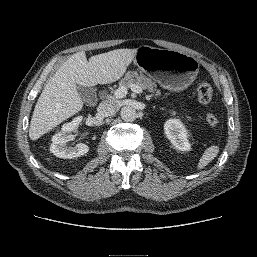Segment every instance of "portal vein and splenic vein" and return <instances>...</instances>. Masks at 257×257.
Masks as SVG:
<instances>
[{"label":"portal vein and splenic vein","instance_id":"18ae733b","mask_svg":"<svg viewBox=\"0 0 257 257\" xmlns=\"http://www.w3.org/2000/svg\"><path fill=\"white\" fill-rule=\"evenodd\" d=\"M130 88H131V90H132L133 92L138 93V94H139V93H142V91H143L140 86L135 85V84H131V85H130ZM126 94H127V88L124 87V86H121V87H119L118 89H116V90L114 91V96H115L116 98H123V97L126 96Z\"/></svg>","mask_w":257,"mask_h":257}]
</instances>
